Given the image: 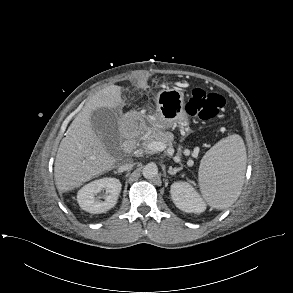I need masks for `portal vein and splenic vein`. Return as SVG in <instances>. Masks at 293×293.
Listing matches in <instances>:
<instances>
[{
	"mask_svg": "<svg viewBox=\"0 0 293 293\" xmlns=\"http://www.w3.org/2000/svg\"><path fill=\"white\" fill-rule=\"evenodd\" d=\"M147 147L149 150H152V151H163L166 148V144H164L163 142H160V141H152L147 145ZM197 154H198V152L194 151L192 153V156L197 157Z\"/></svg>",
	"mask_w": 293,
	"mask_h": 293,
	"instance_id": "1",
	"label": "portal vein and splenic vein"
}]
</instances>
